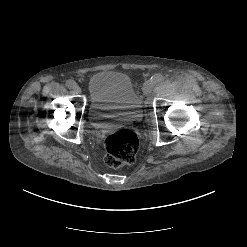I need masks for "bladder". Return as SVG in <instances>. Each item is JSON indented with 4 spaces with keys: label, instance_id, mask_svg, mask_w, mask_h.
<instances>
[{
    "label": "bladder",
    "instance_id": "obj_1",
    "mask_svg": "<svg viewBox=\"0 0 247 247\" xmlns=\"http://www.w3.org/2000/svg\"><path fill=\"white\" fill-rule=\"evenodd\" d=\"M88 117L98 128L123 125L139 119L141 100L130 78L120 72L102 71L88 81Z\"/></svg>",
    "mask_w": 247,
    "mask_h": 247
}]
</instances>
